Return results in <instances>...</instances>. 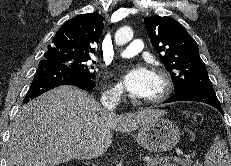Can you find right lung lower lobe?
I'll use <instances>...</instances> for the list:
<instances>
[{
	"mask_svg": "<svg viewBox=\"0 0 231 166\" xmlns=\"http://www.w3.org/2000/svg\"><path fill=\"white\" fill-rule=\"evenodd\" d=\"M60 85H74L86 91L95 88L93 78L79 73L69 66L45 59L40 61L31 87L23 102L27 103L40 94Z\"/></svg>",
	"mask_w": 231,
	"mask_h": 166,
	"instance_id": "right-lung-lower-lobe-1",
	"label": "right lung lower lobe"
}]
</instances>
